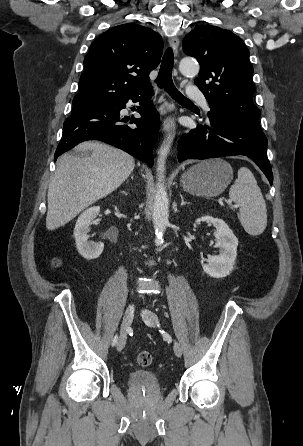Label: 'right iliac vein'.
Instances as JSON below:
<instances>
[{
  "mask_svg": "<svg viewBox=\"0 0 303 446\" xmlns=\"http://www.w3.org/2000/svg\"><path fill=\"white\" fill-rule=\"evenodd\" d=\"M134 312H135V309H134L133 305H129L124 312V316H123V320H122V324H121L120 337L117 342V350L118 351L123 350V348L125 347L126 340H127V332H128V329L130 328V325L133 321Z\"/></svg>",
  "mask_w": 303,
  "mask_h": 446,
  "instance_id": "63e3f726",
  "label": "right iliac vein"
}]
</instances>
